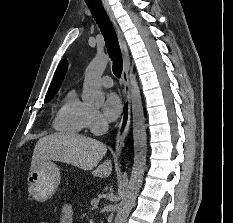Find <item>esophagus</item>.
I'll list each match as a JSON object with an SVG mask.
<instances>
[{"label":"esophagus","instance_id":"esophagus-1","mask_svg":"<svg viewBox=\"0 0 233 223\" xmlns=\"http://www.w3.org/2000/svg\"><path fill=\"white\" fill-rule=\"evenodd\" d=\"M102 5L108 17L110 18L111 22L115 26L118 42L122 54V60H123V69H122V81L124 85L123 112L115 136V153L116 156L119 157L121 155L122 148L124 146V142L128 134L130 121H131V86L129 81L130 58H129L126 42L124 40L120 28L118 27L114 13L111 10L109 3L107 2V0H102Z\"/></svg>","mask_w":233,"mask_h":223}]
</instances>
